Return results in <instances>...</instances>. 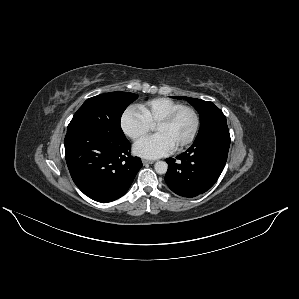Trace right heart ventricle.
I'll use <instances>...</instances> for the list:
<instances>
[{"instance_id":"e07e8e85","label":"right heart ventricle","mask_w":299,"mask_h":299,"mask_svg":"<svg viewBox=\"0 0 299 299\" xmlns=\"http://www.w3.org/2000/svg\"><path fill=\"white\" fill-rule=\"evenodd\" d=\"M182 106L184 105L181 102L165 97H158L139 104L138 110L144 119L154 127L162 118Z\"/></svg>"}]
</instances>
